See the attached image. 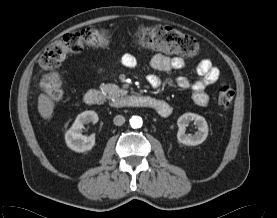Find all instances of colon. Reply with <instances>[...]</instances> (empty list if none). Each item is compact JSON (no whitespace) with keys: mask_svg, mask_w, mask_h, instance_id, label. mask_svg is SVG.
I'll return each mask as SVG.
<instances>
[{"mask_svg":"<svg viewBox=\"0 0 277 218\" xmlns=\"http://www.w3.org/2000/svg\"><path fill=\"white\" fill-rule=\"evenodd\" d=\"M126 38L143 50H155L165 54L194 56L200 51L195 38L168 26L139 27L127 34ZM122 39L108 28H87L70 32L51 43L42 53L39 64L46 72L40 81L41 90L52 100L58 101L63 94L62 79L53 69L62 63L68 55L77 54L86 47L105 49ZM234 89L224 84L220 86L217 102L221 108H228L234 98Z\"/></svg>","mask_w":277,"mask_h":218,"instance_id":"1","label":"colon"}]
</instances>
